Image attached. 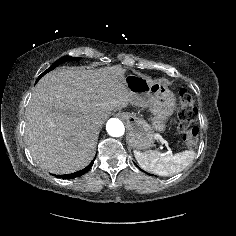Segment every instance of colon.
I'll use <instances>...</instances> for the list:
<instances>
[{"instance_id": "5ec220e1", "label": "colon", "mask_w": 236, "mask_h": 236, "mask_svg": "<svg viewBox=\"0 0 236 236\" xmlns=\"http://www.w3.org/2000/svg\"><path fill=\"white\" fill-rule=\"evenodd\" d=\"M179 124L177 134L184 141L187 147H197L200 139L199 129L193 125L196 108L194 100L189 91L185 88L179 90Z\"/></svg>"}]
</instances>
